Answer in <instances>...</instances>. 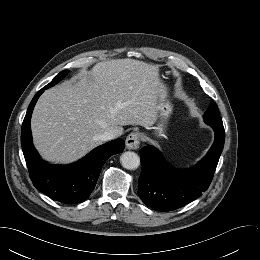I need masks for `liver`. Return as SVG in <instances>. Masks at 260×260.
<instances>
[{"label":"liver","mask_w":260,"mask_h":260,"mask_svg":"<svg viewBox=\"0 0 260 260\" xmlns=\"http://www.w3.org/2000/svg\"><path fill=\"white\" fill-rule=\"evenodd\" d=\"M157 65L133 59L97 63L78 80L46 90L35 105L31 129L35 147L52 163L77 161L99 146V136L125 125L150 127L157 120Z\"/></svg>","instance_id":"1"}]
</instances>
